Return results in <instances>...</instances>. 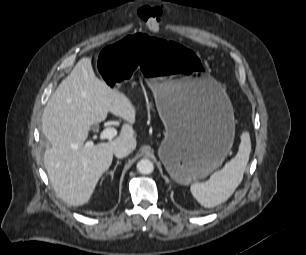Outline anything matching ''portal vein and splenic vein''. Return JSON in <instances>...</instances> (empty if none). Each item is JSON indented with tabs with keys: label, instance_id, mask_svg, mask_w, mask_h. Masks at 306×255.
Returning <instances> with one entry per match:
<instances>
[{
	"label": "portal vein and splenic vein",
	"instance_id": "portal-vein-and-splenic-vein-1",
	"mask_svg": "<svg viewBox=\"0 0 306 255\" xmlns=\"http://www.w3.org/2000/svg\"><path fill=\"white\" fill-rule=\"evenodd\" d=\"M117 135V130L113 127H107L105 128L99 136V139L104 140V139H108L111 140L113 139L115 136ZM94 144L92 141H88L85 143V147L90 148L92 147Z\"/></svg>",
	"mask_w": 306,
	"mask_h": 255
}]
</instances>
